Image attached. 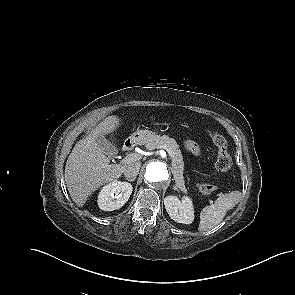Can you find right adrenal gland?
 I'll return each mask as SVG.
<instances>
[{
	"mask_svg": "<svg viewBox=\"0 0 295 295\" xmlns=\"http://www.w3.org/2000/svg\"><path fill=\"white\" fill-rule=\"evenodd\" d=\"M136 178H126L127 181L134 182Z\"/></svg>",
	"mask_w": 295,
	"mask_h": 295,
	"instance_id": "right-adrenal-gland-1",
	"label": "right adrenal gland"
}]
</instances>
